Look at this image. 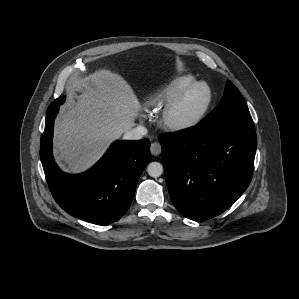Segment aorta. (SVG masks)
<instances>
[{"mask_svg":"<svg viewBox=\"0 0 299 299\" xmlns=\"http://www.w3.org/2000/svg\"><path fill=\"white\" fill-rule=\"evenodd\" d=\"M147 172L151 177L157 178L163 173V165L159 162H151L147 166Z\"/></svg>","mask_w":299,"mask_h":299,"instance_id":"aorta-1","label":"aorta"}]
</instances>
